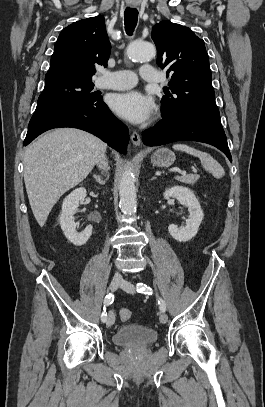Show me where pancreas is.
<instances>
[{"label": "pancreas", "instance_id": "cf45deb5", "mask_svg": "<svg viewBox=\"0 0 265 407\" xmlns=\"http://www.w3.org/2000/svg\"><path fill=\"white\" fill-rule=\"evenodd\" d=\"M176 179L179 182L194 185L198 181L199 175L198 174H187V175L176 177Z\"/></svg>", "mask_w": 265, "mask_h": 407}]
</instances>
